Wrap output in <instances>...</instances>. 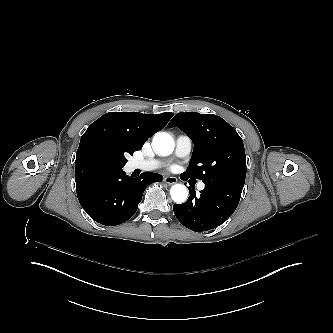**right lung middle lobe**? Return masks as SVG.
<instances>
[{
    "mask_svg": "<svg viewBox=\"0 0 333 333\" xmlns=\"http://www.w3.org/2000/svg\"><path fill=\"white\" fill-rule=\"evenodd\" d=\"M134 152L111 144L102 139L90 140L81 152V158L92 159L111 168H123L127 163L126 155Z\"/></svg>",
    "mask_w": 333,
    "mask_h": 333,
    "instance_id": "right-lung-middle-lobe-1",
    "label": "right lung middle lobe"
}]
</instances>
